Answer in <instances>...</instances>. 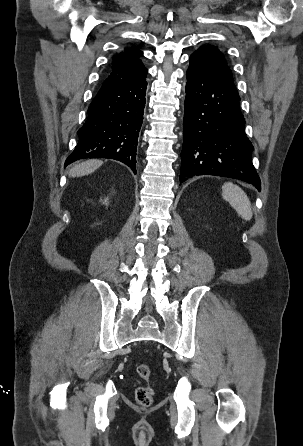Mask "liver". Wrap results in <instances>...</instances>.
<instances>
[{
	"label": "liver",
	"instance_id": "6515ba94",
	"mask_svg": "<svg viewBox=\"0 0 303 446\" xmlns=\"http://www.w3.org/2000/svg\"><path fill=\"white\" fill-rule=\"evenodd\" d=\"M103 162L101 160L91 159L81 162L70 169L69 176L80 177L91 174L98 169Z\"/></svg>",
	"mask_w": 303,
	"mask_h": 446
}]
</instances>
